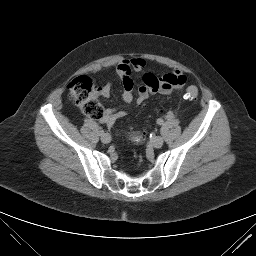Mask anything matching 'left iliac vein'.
<instances>
[{"label":"left iliac vein","mask_w":256,"mask_h":256,"mask_svg":"<svg viewBox=\"0 0 256 256\" xmlns=\"http://www.w3.org/2000/svg\"><path fill=\"white\" fill-rule=\"evenodd\" d=\"M164 141H163V138L160 137V136H156L154 137L152 140H151V145L154 147V148H160L162 147Z\"/></svg>","instance_id":"left-iliac-vein-1"}]
</instances>
